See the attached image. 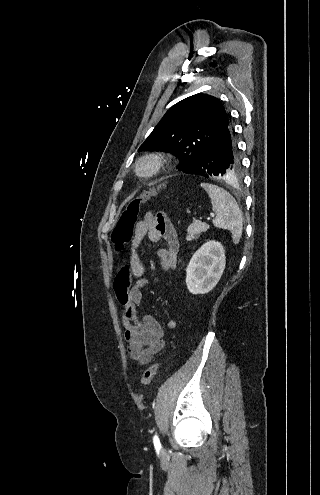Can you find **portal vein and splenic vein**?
Returning <instances> with one entry per match:
<instances>
[{"mask_svg": "<svg viewBox=\"0 0 320 495\" xmlns=\"http://www.w3.org/2000/svg\"><path fill=\"white\" fill-rule=\"evenodd\" d=\"M213 217H214V214H211L210 217L207 218V220H210Z\"/></svg>", "mask_w": 320, "mask_h": 495, "instance_id": "18ae733b", "label": "portal vein and splenic vein"}]
</instances>
